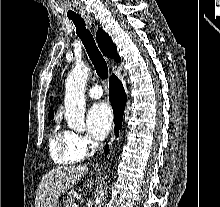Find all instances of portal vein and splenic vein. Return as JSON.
Instances as JSON below:
<instances>
[{
	"label": "portal vein and splenic vein",
	"mask_w": 220,
	"mask_h": 207,
	"mask_svg": "<svg viewBox=\"0 0 220 207\" xmlns=\"http://www.w3.org/2000/svg\"><path fill=\"white\" fill-rule=\"evenodd\" d=\"M73 207H78V205L76 203L73 204Z\"/></svg>",
	"instance_id": "18ae733b"
}]
</instances>
